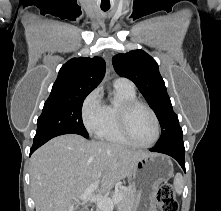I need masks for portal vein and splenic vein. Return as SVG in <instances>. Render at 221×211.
I'll list each match as a JSON object with an SVG mask.
<instances>
[{"instance_id":"portal-vein-and-splenic-vein-1","label":"portal vein and splenic vein","mask_w":221,"mask_h":211,"mask_svg":"<svg viewBox=\"0 0 221 211\" xmlns=\"http://www.w3.org/2000/svg\"><path fill=\"white\" fill-rule=\"evenodd\" d=\"M99 185V180H97L94 184L89 186L81 195H79L76 199L82 201H90L97 203V206L101 208L103 211H112L115 204H118L122 200L121 193H115L112 198L103 196L101 194H94V191L97 189Z\"/></svg>"}]
</instances>
